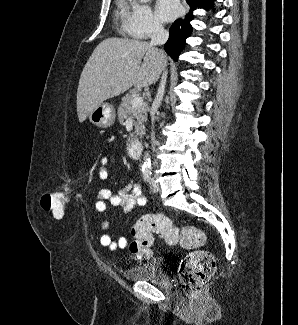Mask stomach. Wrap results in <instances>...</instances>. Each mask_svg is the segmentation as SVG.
I'll list each match as a JSON object with an SVG mask.
<instances>
[{
	"label": "stomach",
	"instance_id": "obj_1",
	"mask_svg": "<svg viewBox=\"0 0 298 325\" xmlns=\"http://www.w3.org/2000/svg\"><path fill=\"white\" fill-rule=\"evenodd\" d=\"M116 112L111 102H102L92 112L88 114V118L92 124L100 126V128H108L115 120Z\"/></svg>",
	"mask_w": 298,
	"mask_h": 325
}]
</instances>
